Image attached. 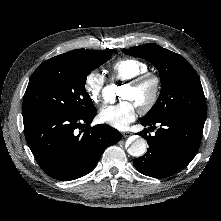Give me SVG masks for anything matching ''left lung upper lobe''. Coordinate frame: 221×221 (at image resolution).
Returning a JSON list of instances; mask_svg holds the SVG:
<instances>
[{"mask_svg": "<svg viewBox=\"0 0 221 221\" xmlns=\"http://www.w3.org/2000/svg\"><path fill=\"white\" fill-rule=\"evenodd\" d=\"M123 52L150 61L159 71L161 93L143 119L167 116L206 119V102L200 79L185 58L152 43L125 49Z\"/></svg>", "mask_w": 221, "mask_h": 221, "instance_id": "obj_1", "label": "left lung upper lobe"}]
</instances>
